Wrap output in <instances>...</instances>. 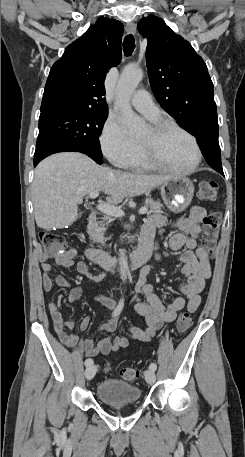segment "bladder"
Listing matches in <instances>:
<instances>
[{
  "mask_svg": "<svg viewBox=\"0 0 245 457\" xmlns=\"http://www.w3.org/2000/svg\"><path fill=\"white\" fill-rule=\"evenodd\" d=\"M96 395L107 405L136 403L141 398V390L122 380H101Z\"/></svg>",
  "mask_w": 245,
  "mask_h": 457,
  "instance_id": "1",
  "label": "bladder"
}]
</instances>
